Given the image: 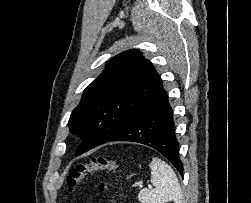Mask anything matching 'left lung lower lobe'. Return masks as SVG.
Here are the masks:
<instances>
[{
    "mask_svg": "<svg viewBox=\"0 0 251 203\" xmlns=\"http://www.w3.org/2000/svg\"><path fill=\"white\" fill-rule=\"evenodd\" d=\"M108 141H131L150 146L164 155L183 176L173 112L164 89L150 105Z\"/></svg>",
    "mask_w": 251,
    "mask_h": 203,
    "instance_id": "1",
    "label": "left lung lower lobe"
}]
</instances>
